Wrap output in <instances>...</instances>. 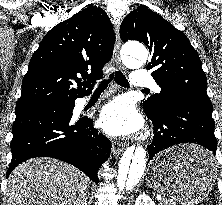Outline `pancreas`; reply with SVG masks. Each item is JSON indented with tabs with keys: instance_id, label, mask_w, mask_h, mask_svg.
Listing matches in <instances>:
<instances>
[{
	"instance_id": "cf45deb5",
	"label": "pancreas",
	"mask_w": 222,
	"mask_h": 205,
	"mask_svg": "<svg viewBox=\"0 0 222 205\" xmlns=\"http://www.w3.org/2000/svg\"><path fill=\"white\" fill-rule=\"evenodd\" d=\"M159 205H176V203L167 199H163L161 202H159Z\"/></svg>"
}]
</instances>
